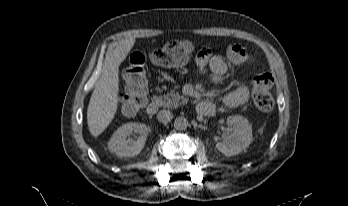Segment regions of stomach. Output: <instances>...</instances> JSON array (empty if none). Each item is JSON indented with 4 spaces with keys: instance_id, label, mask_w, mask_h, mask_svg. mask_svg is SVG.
I'll return each instance as SVG.
<instances>
[{
    "instance_id": "1",
    "label": "stomach",
    "mask_w": 348,
    "mask_h": 206,
    "mask_svg": "<svg viewBox=\"0 0 348 206\" xmlns=\"http://www.w3.org/2000/svg\"><path fill=\"white\" fill-rule=\"evenodd\" d=\"M183 46H184V50L188 53L191 52L194 48L190 41H184Z\"/></svg>"
}]
</instances>
